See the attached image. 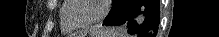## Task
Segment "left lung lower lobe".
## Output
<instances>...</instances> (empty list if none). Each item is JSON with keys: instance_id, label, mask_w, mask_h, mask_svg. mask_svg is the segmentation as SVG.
<instances>
[{"instance_id": "obj_1", "label": "left lung lower lobe", "mask_w": 219, "mask_h": 37, "mask_svg": "<svg viewBox=\"0 0 219 37\" xmlns=\"http://www.w3.org/2000/svg\"><path fill=\"white\" fill-rule=\"evenodd\" d=\"M159 3V0H117L103 25L127 26L135 37H156Z\"/></svg>"}]
</instances>
